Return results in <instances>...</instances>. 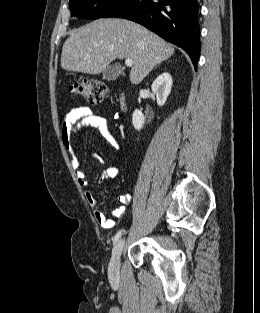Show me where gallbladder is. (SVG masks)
Returning <instances> with one entry per match:
<instances>
[{"label":"gallbladder","mask_w":260,"mask_h":313,"mask_svg":"<svg viewBox=\"0 0 260 313\" xmlns=\"http://www.w3.org/2000/svg\"><path fill=\"white\" fill-rule=\"evenodd\" d=\"M103 79L106 81H114L119 76V70L116 66H108L102 73Z\"/></svg>","instance_id":"gallbladder-1"}]
</instances>
